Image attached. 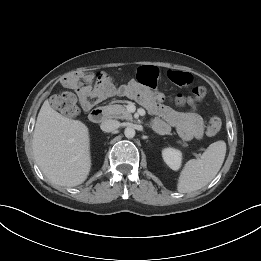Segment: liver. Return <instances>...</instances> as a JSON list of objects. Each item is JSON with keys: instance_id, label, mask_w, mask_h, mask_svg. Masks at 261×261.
<instances>
[{"instance_id": "1", "label": "liver", "mask_w": 261, "mask_h": 261, "mask_svg": "<svg viewBox=\"0 0 261 261\" xmlns=\"http://www.w3.org/2000/svg\"><path fill=\"white\" fill-rule=\"evenodd\" d=\"M32 149L43 174L54 184H82L91 169L88 127L55 111L46 100L37 117Z\"/></svg>"}]
</instances>
